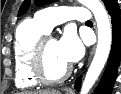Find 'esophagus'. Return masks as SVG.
<instances>
[{
	"label": "esophagus",
	"instance_id": "esophagus-1",
	"mask_svg": "<svg viewBox=\"0 0 121 94\" xmlns=\"http://www.w3.org/2000/svg\"><path fill=\"white\" fill-rule=\"evenodd\" d=\"M66 94H73V91H72L71 89H68V90L66 91Z\"/></svg>",
	"mask_w": 121,
	"mask_h": 94
}]
</instances>
